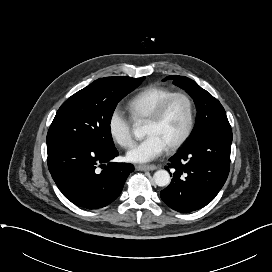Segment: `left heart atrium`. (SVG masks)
<instances>
[{
  "label": "left heart atrium",
  "instance_id": "39dd6f15",
  "mask_svg": "<svg viewBox=\"0 0 272 272\" xmlns=\"http://www.w3.org/2000/svg\"><path fill=\"white\" fill-rule=\"evenodd\" d=\"M167 149L166 144L157 135H149L135 144L126 154L128 161L146 163L159 157Z\"/></svg>",
  "mask_w": 272,
  "mask_h": 272
}]
</instances>
